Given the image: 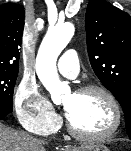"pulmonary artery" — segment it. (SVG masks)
Wrapping results in <instances>:
<instances>
[{"label": "pulmonary artery", "instance_id": "e3ab8cb5", "mask_svg": "<svg viewBox=\"0 0 131 151\" xmlns=\"http://www.w3.org/2000/svg\"><path fill=\"white\" fill-rule=\"evenodd\" d=\"M58 71L65 77L74 78L79 72V62L75 50H67L59 59Z\"/></svg>", "mask_w": 131, "mask_h": 151}]
</instances>
